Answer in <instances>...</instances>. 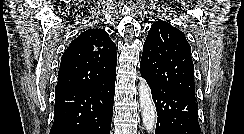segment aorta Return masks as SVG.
<instances>
[{"label":"aorta","instance_id":"aorta-1","mask_svg":"<svg viewBox=\"0 0 244 134\" xmlns=\"http://www.w3.org/2000/svg\"><path fill=\"white\" fill-rule=\"evenodd\" d=\"M139 102L144 128L148 133H153L157 122V112L151 90L144 79H141L139 83Z\"/></svg>","mask_w":244,"mask_h":134}]
</instances>
